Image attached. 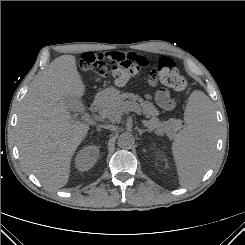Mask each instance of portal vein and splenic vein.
Returning a JSON list of instances; mask_svg holds the SVG:
<instances>
[{
    "instance_id": "portal-vein-and-splenic-vein-1",
    "label": "portal vein and splenic vein",
    "mask_w": 245,
    "mask_h": 245,
    "mask_svg": "<svg viewBox=\"0 0 245 245\" xmlns=\"http://www.w3.org/2000/svg\"><path fill=\"white\" fill-rule=\"evenodd\" d=\"M127 111H133V112H136L138 114L140 113L139 110L135 107L129 108V109H127Z\"/></svg>"
}]
</instances>
